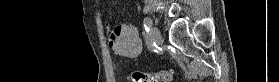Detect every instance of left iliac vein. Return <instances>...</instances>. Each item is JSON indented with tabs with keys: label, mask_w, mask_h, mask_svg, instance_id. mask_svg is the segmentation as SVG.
Here are the masks:
<instances>
[{
	"label": "left iliac vein",
	"mask_w": 279,
	"mask_h": 82,
	"mask_svg": "<svg viewBox=\"0 0 279 82\" xmlns=\"http://www.w3.org/2000/svg\"><path fill=\"white\" fill-rule=\"evenodd\" d=\"M151 34H152L153 43L157 44V45H160V43L162 41V36H161L160 31L157 28L152 27Z\"/></svg>",
	"instance_id": "1"
}]
</instances>
